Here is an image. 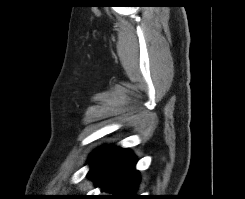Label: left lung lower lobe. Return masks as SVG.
Listing matches in <instances>:
<instances>
[{
    "instance_id": "left-lung-lower-lobe-1",
    "label": "left lung lower lobe",
    "mask_w": 245,
    "mask_h": 199,
    "mask_svg": "<svg viewBox=\"0 0 245 199\" xmlns=\"http://www.w3.org/2000/svg\"><path fill=\"white\" fill-rule=\"evenodd\" d=\"M91 170L88 176L95 185L115 192L121 198H130L137 187L138 172L134 170L136 159L127 149L102 147L91 154Z\"/></svg>"
}]
</instances>
